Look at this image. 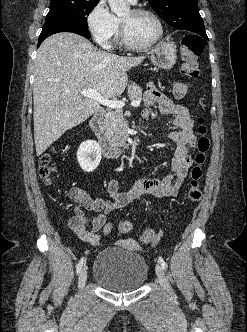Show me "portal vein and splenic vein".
<instances>
[{
  "label": "portal vein and splenic vein",
  "mask_w": 247,
  "mask_h": 332,
  "mask_svg": "<svg viewBox=\"0 0 247 332\" xmlns=\"http://www.w3.org/2000/svg\"><path fill=\"white\" fill-rule=\"evenodd\" d=\"M80 94L83 95L84 97L91 98L100 104L110 107V108H115V109H121L124 107L125 103L123 101L119 100H110L107 98L102 97L96 90L94 89H83L80 91ZM140 105L139 101L133 100L131 102V106L133 107H138Z\"/></svg>",
  "instance_id": "portal-vein-and-splenic-vein-1"
}]
</instances>
